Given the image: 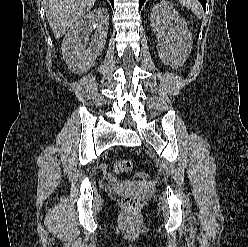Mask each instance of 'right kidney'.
I'll list each match as a JSON object with an SVG mask.
<instances>
[{
    "label": "right kidney",
    "mask_w": 248,
    "mask_h": 247,
    "mask_svg": "<svg viewBox=\"0 0 248 247\" xmlns=\"http://www.w3.org/2000/svg\"><path fill=\"white\" fill-rule=\"evenodd\" d=\"M108 25L107 10L98 8L82 16L71 26L62 43V54L72 72L83 73L94 65L106 43ZM93 31L95 32L91 35ZM88 44L89 47L86 48Z\"/></svg>",
    "instance_id": "right-kidney-1"
}]
</instances>
